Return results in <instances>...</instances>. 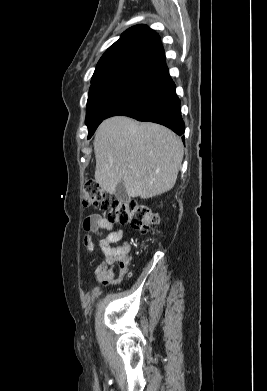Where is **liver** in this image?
Returning a JSON list of instances; mask_svg holds the SVG:
<instances>
[{"label":"liver","instance_id":"6515ba94","mask_svg":"<svg viewBox=\"0 0 267 391\" xmlns=\"http://www.w3.org/2000/svg\"><path fill=\"white\" fill-rule=\"evenodd\" d=\"M95 180L114 194L123 182L129 197L161 195L175 185L183 159V143L168 128L125 116L104 120L93 142Z\"/></svg>","mask_w":267,"mask_h":391}]
</instances>
